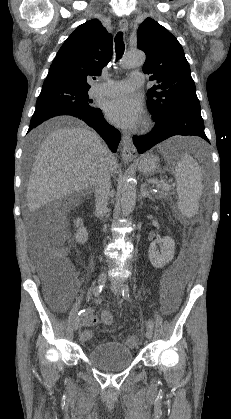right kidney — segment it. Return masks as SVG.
Listing matches in <instances>:
<instances>
[{"mask_svg":"<svg viewBox=\"0 0 231 419\" xmlns=\"http://www.w3.org/2000/svg\"><path fill=\"white\" fill-rule=\"evenodd\" d=\"M74 225L78 228L75 233L76 242L80 244H84L88 240V232L87 229L83 226V221L81 218H77L74 220Z\"/></svg>","mask_w":231,"mask_h":419,"instance_id":"1","label":"right kidney"}]
</instances>
